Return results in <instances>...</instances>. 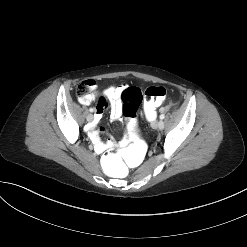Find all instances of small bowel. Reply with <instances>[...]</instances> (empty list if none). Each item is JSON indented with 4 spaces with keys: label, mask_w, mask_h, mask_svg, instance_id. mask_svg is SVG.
Returning <instances> with one entry per match:
<instances>
[{
    "label": "small bowel",
    "mask_w": 247,
    "mask_h": 247,
    "mask_svg": "<svg viewBox=\"0 0 247 247\" xmlns=\"http://www.w3.org/2000/svg\"><path fill=\"white\" fill-rule=\"evenodd\" d=\"M93 91L86 97L80 98V102L83 105L91 104L96 98V84L94 81H90ZM126 89L125 85L110 86L103 91V98L100 100L98 106L96 107V117L95 123L90 131L91 138L94 143V148L97 153H102L114 146V142L109 139L105 143L100 140V130L97 128V124L102 118L104 110L109 107L111 112V117L117 119L122 113L121 97L123 91ZM129 142L128 138H123L120 141V146H125Z\"/></svg>",
    "instance_id": "small-bowel-1"
}]
</instances>
